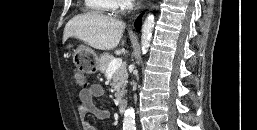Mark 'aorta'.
<instances>
[{"mask_svg":"<svg viewBox=\"0 0 257 130\" xmlns=\"http://www.w3.org/2000/svg\"><path fill=\"white\" fill-rule=\"evenodd\" d=\"M154 16L148 15L142 25V36H141V49L142 53L146 54L150 46L152 32L154 28ZM135 129V111L133 107H129L124 115L123 130H134Z\"/></svg>","mask_w":257,"mask_h":130,"instance_id":"obj_1","label":"aorta"}]
</instances>
